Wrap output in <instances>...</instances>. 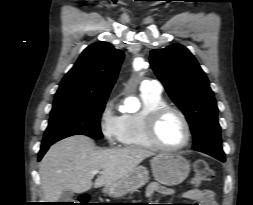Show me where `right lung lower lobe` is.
Segmentation results:
<instances>
[{"label": "right lung lower lobe", "instance_id": "right-lung-lower-lobe-1", "mask_svg": "<svg viewBox=\"0 0 253 205\" xmlns=\"http://www.w3.org/2000/svg\"><path fill=\"white\" fill-rule=\"evenodd\" d=\"M52 144H50V145H42L41 146V149H40V151H39V153H38V160L40 161L41 160V158L43 157V155L45 154V152L48 150V148L51 146Z\"/></svg>", "mask_w": 253, "mask_h": 205}]
</instances>
